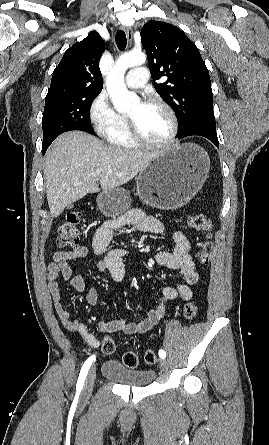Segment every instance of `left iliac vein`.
Instances as JSON below:
<instances>
[{
	"label": "left iliac vein",
	"instance_id": "1",
	"mask_svg": "<svg viewBox=\"0 0 269 445\" xmlns=\"http://www.w3.org/2000/svg\"><path fill=\"white\" fill-rule=\"evenodd\" d=\"M160 368L163 371H166L168 369V362L165 359L160 360Z\"/></svg>",
	"mask_w": 269,
	"mask_h": 445
}]
</instances>
